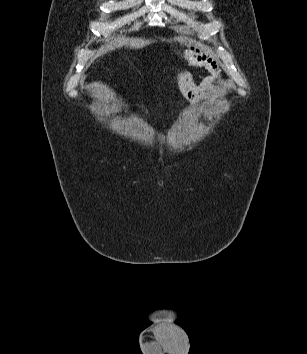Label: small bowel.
<instances>
[{
	"label": "small bowel",
	"mask_w": 307,
	"mask_h": 354,
	"mask_svg": "<svg viewBox=\"0 0 307 354\" xmlns=\"http://www.w3.org/2000/svg\"><path fill=\"white\" fill-rule=\"evenodd\" d=\"M183 58L189 66L207 70L210 74L204 79L202 86L194 83L191 73L181 69L177 73V81L183 96L190 100H196L202 88L208 87L219 78L220 70L217 61L202 49L190 46L183 54Z\"/></svg>",
	"instance_id": "small-bowel-1"
}]
</instances>
